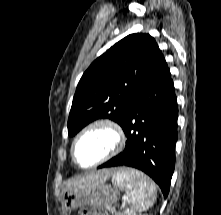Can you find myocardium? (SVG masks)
<instances>
[{"instance_id": "myocardium-1", "label": "myocardium", "mask_w": 221, "mask_h": 215, "mask_svg": "<svg viewBox=\"0 0 221 215\" xmlns=\"http://www.w3.org/2000/svg\"><path fill=\"white\" fill-rule=\"evenodd\" d=\"M93 131H102L108 134L111 140L110 146L108 150L93 163L89 165H81L78 163L76 159V155H75L76 146L78 142L85 135ZM125 139L126 138H125L124 130L118 122L109 118H101V119L94 120L90 122L89 124H87L86 126H84L73 138L72 143H71V148H70L72 160L75 165H77L79 168H82V169H90V168L96 167L106 162L107 160L111 159L118 153H120L125 145Z\"/></svg>"}]
</instances>
